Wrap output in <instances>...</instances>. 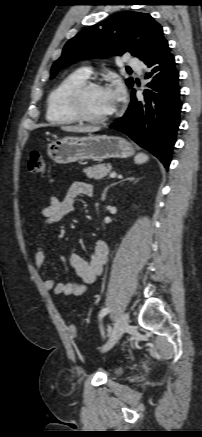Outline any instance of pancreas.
Instances as JSON below:
<instances>
[{
    "label": "pancreas",
    "mask_w": 202,
    "mask_h": 437,
    "mask_svg": "<svg viewBox=\"0 0 202 437\" xmlns=\"http://www.w3.org/2000/svg\"><path fill=\"white\" fill-rule=\"evenodd\" d=\"M111 169L112 167L110 164H99L93 167H88L84 169L83 172L90 179L100 180L106 177L110 173Z\"/></svg>",
    "instance_id": "obj_1"
}]
</instances>
